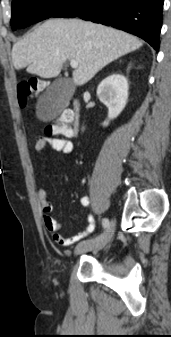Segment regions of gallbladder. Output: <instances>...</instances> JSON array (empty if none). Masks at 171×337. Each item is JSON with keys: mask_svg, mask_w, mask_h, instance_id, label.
<instances>
[{"mask_svg": "<svg viewBox=\"0 0 171 337\" xmlns=\"http://www.w3.org/2000/svg\"><path fill=\"white\" fill-rule=\"evenodd\" d=\"M74 90V84L69 79H56L38 100V116L42 120L56 117L68 105Z\"/></svg>", "mask_w": 171, "mask_h": 337, "instance_id": "1", "label": "gallbladder"}]
</instances>
